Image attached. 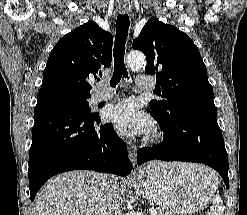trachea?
I'll return each mask as SVG.
<instances>
[{
	"instance_id": "3493384b",
	"label": "trachea",
	"mask_w": 247,
	"mask_h": 215,
	"mask_svg": "<svg viewBox=\"0 0 247 215\" xmlns=\"http://www.w3.org/2000/svg\"><path fill=\"white\" fill-rule=\"evenodd\" d=\"M130 21L127 14L118 15L116 21V36L113 50L114 72L110 80V86L115 87L124 76L128 78V72L124 64L125 43L128 36Z\"/></svg>"
}]
</instances>
